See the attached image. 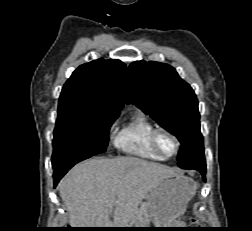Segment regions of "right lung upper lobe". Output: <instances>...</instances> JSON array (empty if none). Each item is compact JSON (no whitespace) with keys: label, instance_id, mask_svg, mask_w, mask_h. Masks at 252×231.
I'll use <instances>...</instances> for the list:
<instances>
[{"label":"right lung upper lobe","instance_id":"right-lung-upper-lobe-1","mask_svg":"<svg viewBox=\"0 0 252 231\" xmlns=\"http://www.w3.org/2000/svg\"><path fill=\"white\" fill-rule=\"evenodd\" d=\"M125 64L102 58L79 66L64 84L59 107H80L120 113Z\"/></svg>","mask_w":252,"mask_h":231}]
</instances>
